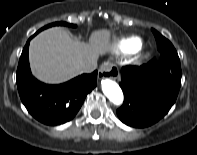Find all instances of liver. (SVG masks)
<instances>
[{"mask_svg":"<svg viewBox=\"0 0 197 155\" xmlns=\"http://www.w3.org/2000/svg\"><path fill=\"white\" fill-rule=\"evenodd\" d=\"M110 49V32L92 33L89 43L72 39L61 27L39 33L30 42L29 58L34 75L46 83H62L79 75L84 64L97 62Z\"/></svg>","mask_w":197,"mask_h":155,"instance_id":"6515ba94","label":"liver"}]
</instances>
